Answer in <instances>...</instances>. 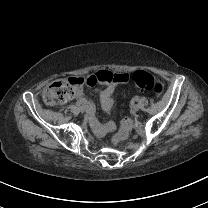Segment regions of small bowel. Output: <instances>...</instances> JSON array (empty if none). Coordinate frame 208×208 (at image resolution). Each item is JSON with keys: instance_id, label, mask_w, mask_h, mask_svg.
<instances>
[{"instance_id": "small-bowel-1", "label": "small bowel", "mask_w": 208, "mask_h": 208, "mask_svg": "<svg viewBox=\"0 0 208 208\" xmlns=\"http://www.w3.org/2000/svg\"><path fill=\"white\" fill-rule=\"evenodd\" d=\"M126 81V75L124 74H116V78L112 83H108L106 86H104L100 91V101L102 108L104 111L109 112L112 106V95L115 88V85L117 83H123ZM74 100L81 102L85 105L87 115L89 117V120L91 123H94L95 131L98 133H106L113 129V123L108 122L106 124H99L94 116V108L93 105L87 100L86 97L83 96L82 92L80 90H77L75 93Z\"/></svg>"}]
</instances>
